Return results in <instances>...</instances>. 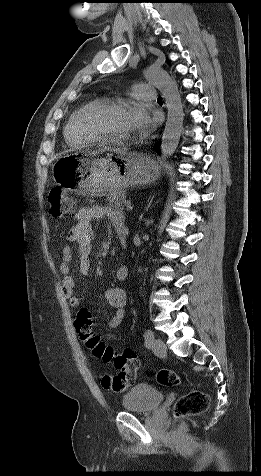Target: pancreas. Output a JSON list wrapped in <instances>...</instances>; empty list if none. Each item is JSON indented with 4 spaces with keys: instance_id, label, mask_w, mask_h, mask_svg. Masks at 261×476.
Segmentation results:
<instances>
[{
    "instance_id": "1",
    "label": "pancreas",
    "mask_w": 261,
    "mask_h": 476,
    "mask_svg": "<svg viewBox=\"0 0 261 476\" xmlns=\"http://www.w3.org/2000/svg\"><path fill=\"white\" fill-rule=\"evenodd\" d=\"M108 200L113 207L119 210H122L126 203V198L123 195L110 196Z\"/></svg>"
}]
</instances>
